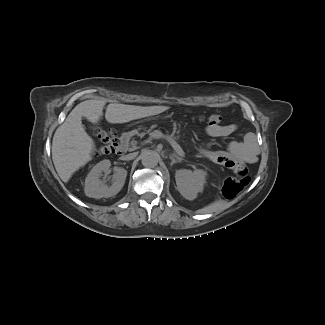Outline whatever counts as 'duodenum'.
<instances>
[{
	"label": "duodenum",
	"instance_id": "1",
	"mask_svg": "<svg viewBox=\"0 0 325 325\" xmlns=\"http://www.w3.org/2000/svg\"><path fill=\"white\" fill-rule=\"evenodd\" d=\"M128 135H122L115 143L114 149L117 155H124L128 149Z\"/></svg>",
	"mask_w": 325,
	"mask_h": 325
}]
</instances>
